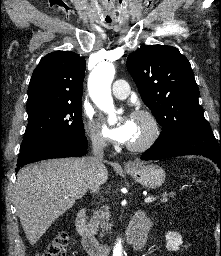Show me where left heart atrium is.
I'll return each mask as SVG.
<instances>
[{"label":"left heart atrium","instance_id":"left-heart-atrium-1","mask_svg":"<svg viewBox=\"0 0 221 256\" xmlns=\"http://www.w3.org/2000/svg\"><path fill=\"white\" fill-rule=\"evenodd\" d=\"M105 133L110 139L116 142H130L135 133L133 117H124L115 127L105 128Z\"/></svg>","mask_w":221,"mask_h":256}]
</instances>
